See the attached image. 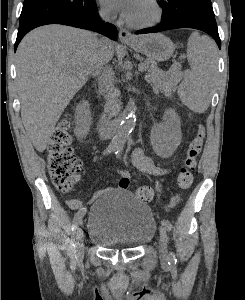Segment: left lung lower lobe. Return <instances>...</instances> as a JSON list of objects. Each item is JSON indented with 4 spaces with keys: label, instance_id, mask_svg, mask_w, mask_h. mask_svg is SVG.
<instances>
[{
    "label": "left lung lower lobe",
    "instance_id": "left-lung-lower-lobe-1",
    "mask_svg": "<svg viewBox=\"0 0 245 300\" xmlns=\"http://www.w3.org/2000/svg\"><path fill=\"white\" fill-rule=\"evenodd\" d=\"M177 28H194L204 31L209 34L216 41L218 47L221 48V40L214 16L191 9L177 10L167 19L161 20V23L157 27L141 29L136 31V34L155 33Z\"/></svg>",
    "mask_w": 245,
    "mask_h": 300
}]
</instances>
